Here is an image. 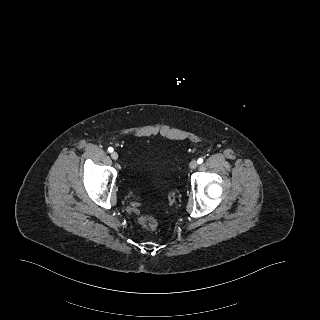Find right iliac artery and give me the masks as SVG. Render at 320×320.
I'll list each match as a JSON object with an SVG mask.
<instances>
[{
    "mask_svg": "<svg viewBox=\"0 0 320 320\" xmlns=\"http://www.w3.org/2000/svg\"><path fill=\"white\" fill-rule=\"evenodd\" d=\"M108 151L111 153V152H113V148L112 147H109L108 148Z\"/></svg>",
    "mask_w": 320,
    "mask_h": 320,
    "instance_id": "obj_1",
    "label": "right iliac artery"
}]
</instances>
